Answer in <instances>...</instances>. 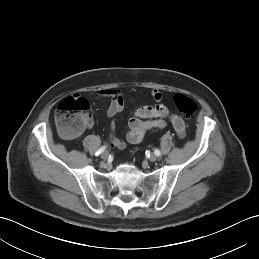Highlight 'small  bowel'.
Returning <instances> with one entry per match:
<instances>
[{"mask_svg":"<svg viewBox=\"0 0 259 259\" xmlns=\"http://www.w3.org/2000/svg\"><path fill=\"white\" fill-rule=\"evenodd\" d=\"M98 94L110 98V104L107 108V115L113 117L124 109V97L122 92L116 88L102 89ZM151 97L155 101L153 106H142L136 109L134 116L128 122V132L126 141L135 144L139 143L145 135L154 129H162L166 126V121L169 120L179 138L185 137V123L177 115L172 114L170 110L161 103L162 94L158 90L151 92ZM93 125L92 119L87 127ZM110 143L117 149H123L126 143L123 139L110 135Z\"/></svg>","mask_w":259,"mask_h":259,"instance_id":"small-bowel-1","label":"small bowel"}]
</instances>
